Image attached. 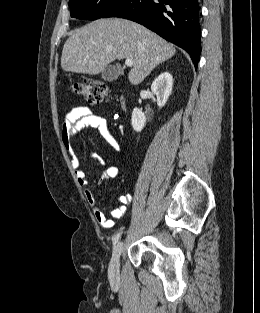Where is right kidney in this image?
Segmentation results:
<instances>
[{"mask_svg":"<svg viewBox=\"0 0 260 313\" xmlns=\"http://www.w3.org/2000/svg\"><path fill=\"white\" fill-rule=\"evenodd\" d=\"M173 87V77L169 72L161 73L152 83L151 90L157 97V105L159 108L163 107L171 92ZM146 123V117L144 113L138 109L134 108L132 112L131 125L136 132H141Z\"/></svg>","mask_w":260,"mask_h":313,"instance_id":"obj_1","label":"right kidney"}]
</instances>
